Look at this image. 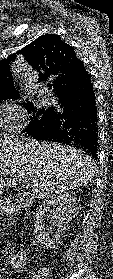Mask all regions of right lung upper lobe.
I'll list each match as a JSON object with an SVG mask.
<instances>
[{
    "instance_id": "1",
    "label": "right lung upper lobe",
    "mask_w": 113,
    "mask_h": 279,
    "mask_svg": "<svg viewBox=\"0 0 113 279\" xmlns=\"http://www.w3.org/2000/svg\"><path fill=\"white\" fill-rule=\"evenodd\" d=\"M19 53L38 72L39 80L48 82L51 92L59 99L76 92L90 76L74 48L55 34L42 35L16 54ZM16 54L0 61L1 100L14 98L13 93L16 92L8 66Z\"/></svg>"
}]
</instances>
